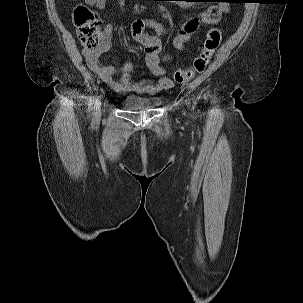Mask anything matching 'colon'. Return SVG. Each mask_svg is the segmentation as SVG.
Wrapping results in <instances>:
<instances>
[{
    "label": "colon",
    "mask_w": 303,
    "mask_h": 303,
    "mask_svg": "<svg viewBox=\"0 0 303 303\" xmlns=\"http://www.w3.org/2000/svg\"><path fill=\"white\" fill-rule=\"evenodd\" d=\"M73 20L77 27L78 38L81 44L88 50L95 48L99 43L101 35L100 21L97 15L87 6L79 4L73 11ZM221 37L222 34L218 28H211L193 65L178 69L174 74V80L177 83H184L192 79L196 74L202 73L218 48Z\"/></svg>",
    "instance_id": "5ec220e1"
}]
</instances>
